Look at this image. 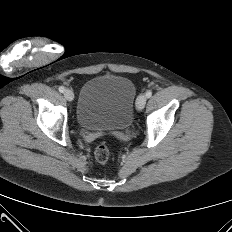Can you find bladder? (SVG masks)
<instances>
[{"instance_id":"bladder-1","label":"bladder","mask_w":232,"mask_h":232,"mask_svg":"<svg viewBox=\"0 0 232 232\" xmlns=\"http://www.w3.org/2000/svg\"><path fill=\"white\" fill-rule=\"evenodd\" d=\"M135 101L136 90L130 79L120 75L96 76L81 89L76 120L86 130H124L133 121Z\"/></svg>"}]
</instances>
